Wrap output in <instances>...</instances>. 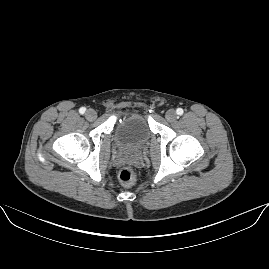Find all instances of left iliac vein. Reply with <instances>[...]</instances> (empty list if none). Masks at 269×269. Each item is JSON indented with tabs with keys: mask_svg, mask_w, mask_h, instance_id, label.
<instances>
[{
	"mask_svg": "<svg viewBox=\"0 0 269 269\" xmlns=\"http://www.w3.org/2000/svg\"><path fill=\"white\" fill-rule=\"evenodd\" d=\"M165 117L168 122H174L177 118V114L173 109H170L166 112Z\"/></svg>",
	"mask_w": 269,
	"mask_h": 269,
	"instance_id": "obj_1",
	"label": "left iliac vein"
}]
</instances>
